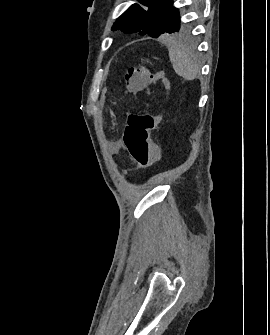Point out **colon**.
Returning <instances> with one entry per match:
<instances>
[{"mask_svg": "<svg viewBox=\"0 0 270 335\" xmlns=\"http://www.w3.org/2000/svg\"><path fill=\"white\" fill-rule=\"evenodd\" d=\"M172 72L160 73V78L172 79ZM126 87L130 92L140 93L154 82L155 78L146 67H130L125 73ZM157 109H171L172 103L169 93H164L162 102L156 103ZM162 112L142 111L132 112L127 118L122 139L130 157L142 168L150 167L153 163H162V149L156 148L157 142L150 141V132L156 127L157 120L162 119Z\"/></svg>", "mask_w": 270, "mask_h": 335, "instance_id": "5ec220e1", "label": "colon"}]
</instances>
